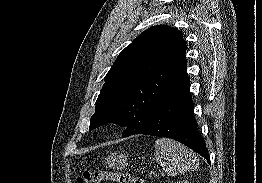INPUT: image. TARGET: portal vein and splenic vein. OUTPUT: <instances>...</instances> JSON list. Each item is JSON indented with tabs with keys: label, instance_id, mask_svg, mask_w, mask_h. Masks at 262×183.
<instances>
[{
	"label": "portal vein and splenic vein",
	"instance_id": "obj_1",
	"mask_svg": "<svg viewBox=\"0 0 262 183\" xmlns=\"http://www.w3.org/2000/svg\"><path fill=\"white\" fill-rule=\"evenodd\" d=\"M150 175H157V174L154 171H151Z\"/></svg>",
	"mask_w": 262,
	"mask_h": 183
}]
</instances>
